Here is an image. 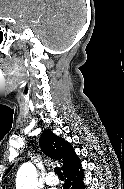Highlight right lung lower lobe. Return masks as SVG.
<instances>
[{
  "label": "right lung lower lobe",
  "mask_w": 124,
  "mask_h": 189,
  "mask_svg": "<svg viewBox=\"0 0 124 189\" xmlns=\"http://www.w3.org/2000/svg\"><path fill=\"white\" fill-rule=\"evenodd\" d=\"M66 181L64 184V189H84L85 185L83 183L84 174L82 168L80 167V161L73 164L67 170L64 171Z\"/></svg>",
  "instance_id": "1"
}]
</instances>
